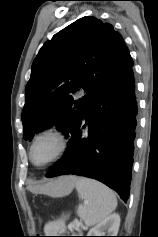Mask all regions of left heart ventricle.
<instances>
[{
  "label": "left heart ventricle",
  "mask_w": 158,
  "mask_h": 237,
  "mask_svg": "<svg viewBox=\"0 0 158 237\" xmlns=\"http://www.w3.org/2000/svg\"><path fill=\"white\" fill-rule=\"evenodd\" d=\"M58 142L53 137H43L34 146L33 160L37 164L48 161L58 150Z\"/></svg>",
  "instance_id": "1"
}]
</instances>
